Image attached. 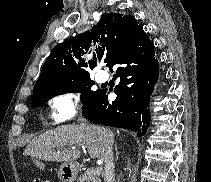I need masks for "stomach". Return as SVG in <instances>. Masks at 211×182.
<instances>
[{"label": "stomach", "mask_w": 211, "mask_h": 182, "mask_svg": "<svg viewBox=\"0 0 211 182\" xmlns=\"http://www.w3.org/2000/svg\"><path fill=\"white\" fill-rule=\"evenodd\" d=\"M78 175V166L73 162H64L58 171L61 182H74Z\"/></svg>", "instance_id": "stomach-1"}]
</instances>
